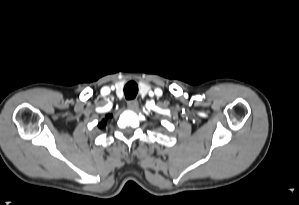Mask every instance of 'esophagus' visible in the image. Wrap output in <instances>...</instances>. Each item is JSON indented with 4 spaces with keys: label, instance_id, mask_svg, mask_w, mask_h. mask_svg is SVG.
<instances>
[{
    "label": "esophagus",
    "instance_id": "obj_1",
    "mask_svg": "<svg viewBox=\"0 0 299 205\" xmlns=\"http://www.w3.org/2000/svg\"><path fill=\"white\" fill-rule=\"evenodd\" d=\"M138 101L137 100H130L127 102V107L130 110H136L138 108Z\"/></svg>",
    "mask_w": 299,
    "mask_h": 205
}]
</instances>
